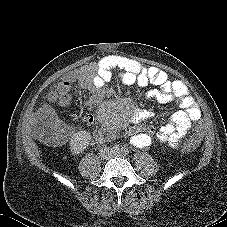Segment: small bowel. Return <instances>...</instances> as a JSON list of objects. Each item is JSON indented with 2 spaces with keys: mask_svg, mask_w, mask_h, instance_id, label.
Masks as SVG:
<instances>
[{
  "mask_svg": "<svg viewBox=\"0 0 227 227\" xmlns=\"http://www.w3.org/2000/svg\"><path fill=\"white\" fill-rule=\"evenodd\" d=\"M118 71L121 82L125 85H137L139 87L155 86L147 92V96L162 104L176 102L179 110L172 116L171 122L158 130L139 127L131 135V142L139 148L149 147L153 139L166 144L171 149H177L182 139L192 125L200 118V109L189 95L186 85L179 80H171L168 74L153 66H144L140 62L118 55H110L96 63L80 67L66 75L58 84L57 89L62 94L61 106L70 104L72 96L70 90H88L92 96L86 101V105L97 102L104 87ZM44 112L52 116L48 109ZM151 116L149 111L143 110L137 113L136 121L142 122ZM88 121V118L83 119Z\"/></svg>",
  "mask_w": 227,
  "mask_h": 227,
  "instance_id": "1",
  "label": "small bowel"
}]
</instances>
